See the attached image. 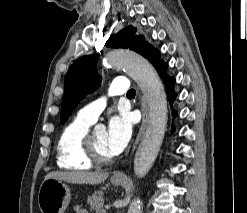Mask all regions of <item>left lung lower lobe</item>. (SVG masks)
Here are the masks:
<instances>
[{"label":"left lung lower lobe","mask_w":247,"mask_h":213,"mask_svg":"<svg viewBox=\"0 0 247 213\" xmlns=\"http://www.w3.org/2000/svg\"><path fill=\"white\" fill-rule=\"evenodd\" d=\"M153 65L156 68V70L158 71V73L160 74V76L162 77V79L166 85L168 98L170 100V103H172L176 97V94L173 91V85H174L175 80H174V78H171V77H168L165 75V70L167 68V65L164 62L159 61L157 63H154Z\"/></svg>","instance_id":"obj_1"}]
</instances>
